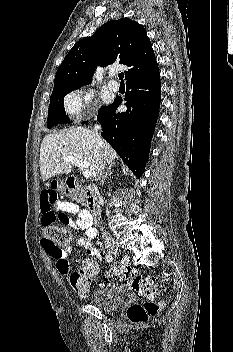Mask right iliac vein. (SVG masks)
Returning a JSON list of instances; mask_svg holds the SVG:
<instances>
[{
	"mask_svg": "<svg viewBox=\"0 0 233 352\" xmlns=\"http://www.w3.org/2000/svg\"><path fill=\"white\" fill-rule=\"evenodd\" d=\"M122 248L119 245H111L108 247V253L109 254H116L118 251H120Z\"/></svg>",
	"mask_w": 233,
	"mask_h": 352,
	"instance_id": "1",
	"label": "right iliac vein"
}]
</instances>
